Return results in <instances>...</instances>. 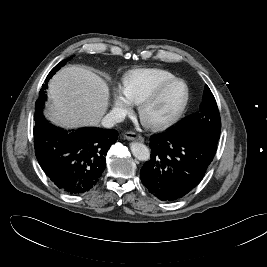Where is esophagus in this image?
<instances>
[{
  "instance_id": "1",
  "label": "esophagus",
  "mask_w": 267,
  "mask_h": 267,
  "mask_svg": "<svg viewBox=\"0 0 267 267\" xmlns=\"http://www.w3.org/2000/svg\"><path fill=\"white\" fill-rule=\"evenodd\" d=\"M124 138L127 139V140H135V141H139V142H143L144 141V138L137 134V133H134V132H128L124 135Z\"/></svg>"
}]
</instances>
